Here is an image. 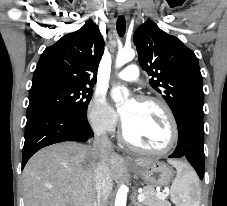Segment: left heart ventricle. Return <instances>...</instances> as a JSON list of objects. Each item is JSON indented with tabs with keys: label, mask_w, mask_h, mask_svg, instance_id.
<instances>
[{
	"label": "left heart ventricle",
	"mask_w": 227,
	"mask_h": 206,
	"mask_svg": "<svg viewBox=\"0 0 227 206\" xmlns=\"http://www.w3.org/2000/svg\"><path fill=\"white\" fill-rule=\"evenodd\" d=\"M123 114L128 116L127 134L135 143L148 149H161L168 144L170 125L159 106L130 101L124 106Z\"/></svg>",
	"instance_id": "b2bd125f"
}]
</instances>
